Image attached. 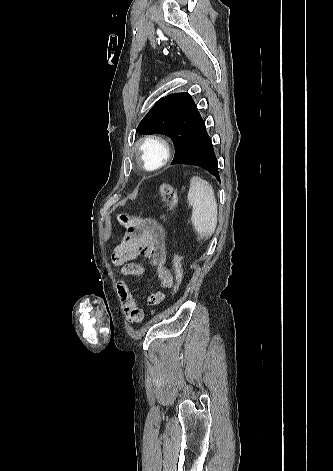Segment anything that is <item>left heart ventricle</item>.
<instances>
[{
	"mask_svg": "<svg viewBox=\"0 0 333 471\" xmlns=\"http://www.w3.org/2000/svg\"><path fill=\"white\" fill-rule=\"evenodd\" d=\"M159 156H160V153L156 148L154 147L149 148L147 150V156H146L147 163L149 165H153L158 160Z\"/></svg>",
	"mask_w": 333,
	"mask_h": 471,
	"instance_id": "1",
	"label": "left heart ventricle"
}]
</instances>
